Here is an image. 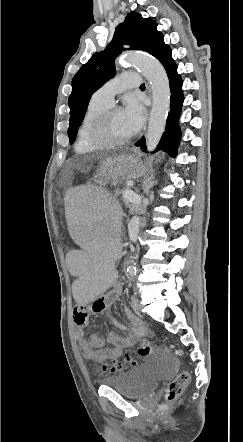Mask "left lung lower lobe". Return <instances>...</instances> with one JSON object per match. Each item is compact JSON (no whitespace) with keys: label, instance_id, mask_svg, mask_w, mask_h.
<instances>
[{"label":"left lung lower lobe","instance_id":"obj_1","mask_svg":"<svg viewBox=\"0 0 243 442\" xmlns=\"http://www.w3.org/2000/svg\"><path fill=\"white\" fill-rule=\"evenodd\" d=\"M165 67L167 75L169 78L171 98H170V112L168 114L166 129L163 133L161 140L155 151L163 150L168 152L170 156H175L177 152L178 143L180 140L181 132L179 127V116L181 112V107L183 104V91H182V80L180 75L177 73V66L172 59V52L168 45L162 40L153 53ZM136 146H140L143 151L146 150L145 138L142 137Z\"/></svg>","mask_w":243,"mask_h":442}]
</instances>
